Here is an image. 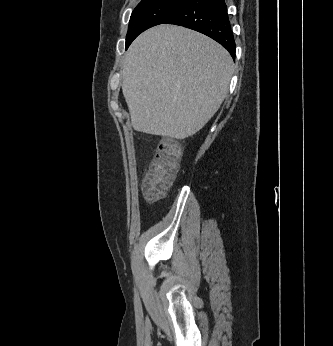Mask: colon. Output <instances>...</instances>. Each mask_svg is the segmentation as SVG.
Returning a JSON list of instances; mask_svg holds the SVG:
<instances>
[{
	"instance_id": "colon-1",
	"label": "colon",
	"mask_w": 333,
	"mask_h": 346,
	"mask_svg": "<svg viewBox=\"0 0 333 346\" xmlns=\"http://www.w3.org/2000/svg\"><path fill=\"white\" fill-rule=\"evenodd\" d=\"M182 147L176 141L164 138L142 176L144 197L154 202L163 198L178 170Z\"/></svg>"
}]
</instances>
